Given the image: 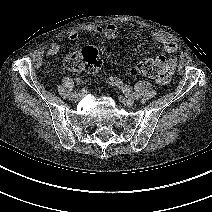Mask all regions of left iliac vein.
I'll return each instance as SVG.
<instances>
[{
  "label": "left iliac vein",
  "mask_w": 212,
  "mask_h": 212,
  "mask_svg": "<svg viewBox=\"0 0 212 212\" xmlns=\"http://www.w3.org/2000/svg\"><path fill=\"white\" fill-rule=\"evenodd\" d=\"M119 98L127 107H132L134 105V98L130 96H120Z\"/></svg>",
  "instance_id": "4c4485c4"
}]
</instances>
